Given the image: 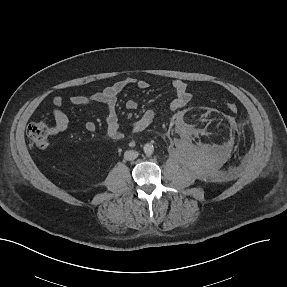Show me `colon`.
Masks as SVG:
<instances>
[{
    "label": "colon",
    "mask_w": 287,
    "mask_h": 287,
    "mask_svg": "<svg viewBox=\"0 0 287 287\" xmlns=\"http://www.w3.org/2000/svg\"><path fill=\"white\" fill-rule=\"evenodd\" d=\"M227 110L236 113L238 111L237 104L230 102L226 105ZM27 135L32 144L39 149H45L49 145L50 128L44 121L33 122L28 126Z\"/></svg>",
    "instance_id": "colon-1"
}]
</instances>
